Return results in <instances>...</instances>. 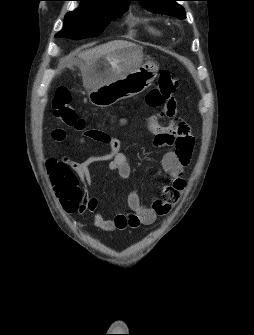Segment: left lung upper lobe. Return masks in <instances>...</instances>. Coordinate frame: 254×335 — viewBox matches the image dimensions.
<instances>
[{
	"label": "left lung upper lobe",
	"instance_id": "obj_1",
	"mask_svg": "<svg viewBox=\"0 0 254 335\" xmlns=\"http://www.w3.org/2000/svg\"><path fill=\"white\" fill-rule=\"evenodd\" d=\"M150 11H156L167 15H173L179 19H185L184 8L177 4L178 0H137Z\"/></svg>",
	"mask_w": 254,
	"mask_h": 335
}]
</instances>
